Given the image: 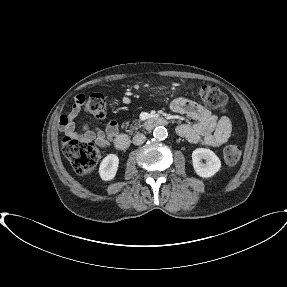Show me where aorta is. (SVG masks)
<instances>
[{
    "instance_id": "aorta-1",
    "label": "aorta",
    "mask_w": 287,
    "mask_h": 287,
    "mask_svg": "<svg viewBox=\"0 0 287 287\" xmlns=\"http://www.w3.org/2000/svg\"><path fill=\"white\" fill-rule=\"evenodd\" d=\"M153 136L158 140H165L168 136L167 129L163 126H158L154 129Z\"/></svg>"
}]
</instances>
